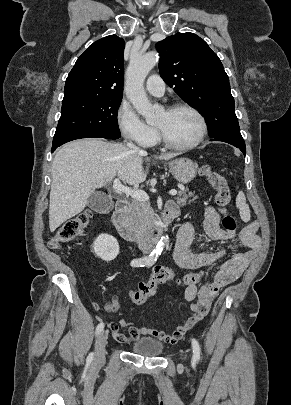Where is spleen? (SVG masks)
Returning a JSON list of instances; mask_svg holds the SVG:
<instances>
[{
	"mask_svg": "<svg viewBox=\"0 0 291 405\" xmlns=\"http://www.w3.org/2000/svg\"><path fill=\"white\" fill-rule=\"evenodd\" d=\"M236 207L240 211V216L243 220L250 219L249 206L246 204V198L243 192H239L236 197Z\"/></svg>",
	"mask_w": 291,
	"mask_h": 405,
	"instance_id": "1",
	"label": "spleen"
}]
</instances>
